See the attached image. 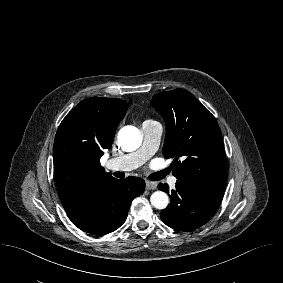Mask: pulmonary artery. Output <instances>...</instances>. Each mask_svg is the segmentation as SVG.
Listing matches in <instances>:
<instances>
[{
  "mask_svg": "<svg viewBox=\"0 0 283 283\" xmlns=\"http://www.w3.org/2000/svg\"><path fill=\"white\" fill-rule=\"evenodd\" d=\"M141 131L143 142L140 148L134 152L109 159L107 162L109 169L131 171L144 164L155 154L160 145L163 126L157 121L147 120L142 123ZM175 182L176 179L171 178L170 184L174 185Z\"/></svg>",
  "mask_w": 283,
  "mask_h": 283,
  "instance_id": "obj_1",
  "label": "pulmonary artery"
}]
</instances>
